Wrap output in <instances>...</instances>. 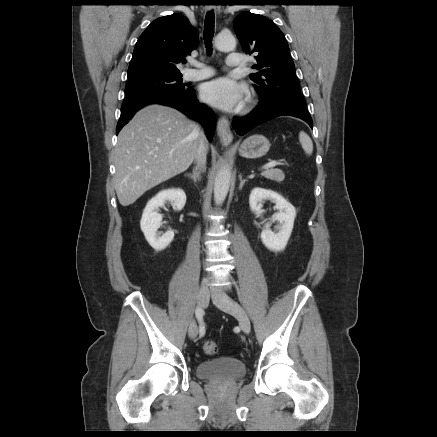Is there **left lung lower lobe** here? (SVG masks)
Listing matches in <instances>:
<instances>
[{"label":"left lung lower lobe","instance_id":"1","mask_svg":"<svg viewBox=\"0 0 437 437\" xmlns=\"http://www.w3.org/2000/svg\"><path fill=\"white\" fill-rule=\"evenodd\" d=\"M284 115L300 118L307 122L312 128V119L305 105H297L289 102L260 103V105L247 116L234 118L232 125L236 132L242 136L257 125Z\"/></svg>","mask_w":437,"mask_h":437}]
</instances>
